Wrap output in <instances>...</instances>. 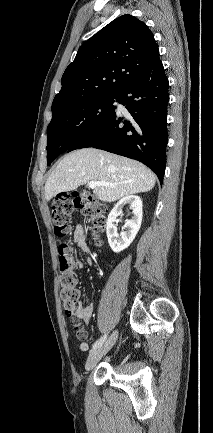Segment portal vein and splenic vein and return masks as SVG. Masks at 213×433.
I'll use <instances>...</instances> for the list:
<instances>
[{"instance_id":"obj_1","label":"portal vein and splenic vein","mask_w":213,"mask_h":433,"mask_svg":"<svg viewBox=\"0 0 213 433\" xmlns=\"http://www.w3.org/2000/svg\"><path fill=\"white\" fill-rule=\"evenodd\" d=\"M88 185H89V188H91V189H95V188H97L99 186H112L109 183L96 182V181H91V182L88 183Z\"/></svg>"}]
</instances>
